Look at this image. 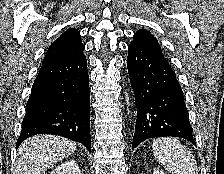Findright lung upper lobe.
<instances>
[{
  "instance_id": "1",
  "label": "right lung upper lobe",
  "mask_w": 224,
  "mask_h": 174,
  "mask_svg": "<svg viewBox=\"0 0 224 174\" xmlns=\"http://www.w3.org/2000/svg\"><path fill=\"white\" fill-rule=\"evenodd\" d=\"M83 44L77 29L71 28L48 48L42 65L68 59L83 53Z\"/></svg>"
}]
</instances>
